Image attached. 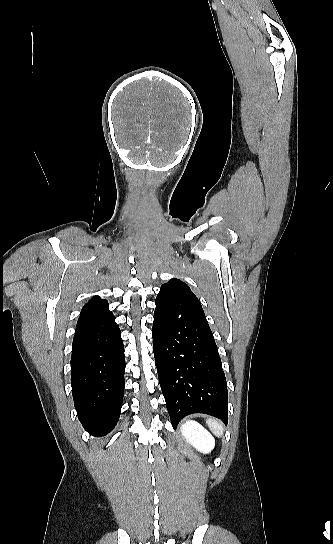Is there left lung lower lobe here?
Instances as JSON below:
<instances>
[{
	"label": "left lung lower lobe",
	"mask_w": 333,
	"mask_h": 544,
	"mask_svg": "<svg viewBox=\"0 0 333 544\" xmlns=\"http://www.w3.org/2000/svg\"><path fill=\"white\" fill-rule=\"evenodd\" d=\"M152 338L171 423L193 413L228 420V391L218 349L200 302L156 301Z\"/></svg>",
	"instance_id": "1"
}]
</instances>
